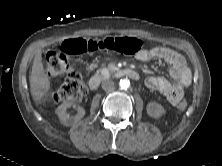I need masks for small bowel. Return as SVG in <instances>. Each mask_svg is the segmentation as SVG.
<instances>
[{
  "label": "small bowel",
  "instance_id": "obj_1",
  "mask_svg": "<svg viewBox=\"0 0 222 166\" xmlns=\"http://www.w3.org/2000/svg\"><path fill=\"white\" fill-rule=\"evenodd\" d=\"M136 58L144 62L161 59L170 66V75L174 79V83L159 76H150L145 83L149 89L159 92L170 104L177 106L179 100L184 96V89L192 81V74L184 57L174 50L159 46L139 51Z\"/></svg>",
  "mask_w": 222,
  "mask_h": 166
}]
</instances>
